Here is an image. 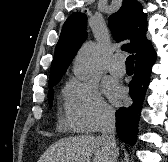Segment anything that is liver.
<instances>
[{
    "label": "liver",
    "instance_id": "1",
    "mask_svg": "<svg viewBox=\"0 0 168 162\" xmlns=\"http://www.w3.org/2000/svg\"><path fill=\"white\" fill-rule=\"evenodd\" d=\"M112 162V155L101 137L82 135L68 137L52 144L38 162Z\"/></svg>",
    "mask_w": 168,
    "mask_h": 162
}]
</instances>
